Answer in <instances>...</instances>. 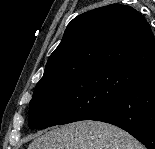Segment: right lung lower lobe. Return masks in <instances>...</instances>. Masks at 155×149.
<instances>
[{"mask_svg":"<svg viewBox=\"0 0 155 149\" xmlns=\"http://www.w3.org/2000/svg\"><path fill=\"white\" fill-rule=\"evenodd\" d=\"M90 120L116 125L155 149V75L148 76Z\"/></svg>","mask_w":155,"mask_h":149,"instance_id":"obj_1","label":"right lung lower lobe"}]
</instances>
